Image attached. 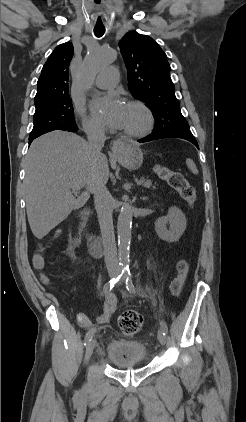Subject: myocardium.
Returning <instances> with one entry per match:
<instances>
[{
    "instance_id": "f54148a6",
    "label": "myocardium",
    "mask_w": 246,
    "mask_h": 422,
    "mask_svg": "<svg viewBox=\"0 0 246 422\" xmlns=\"http://www.w3.org/2000/svg\"><path fill=\"white\" fill-rule=\"evenodd\" d=\"M127 105L136 107L143 113L144 124L136 130H123V135L131 138H140L149 134L155 124V118L151 108L145 102L137 99L128 101Z\"/></svg>"
}]
</instances>
